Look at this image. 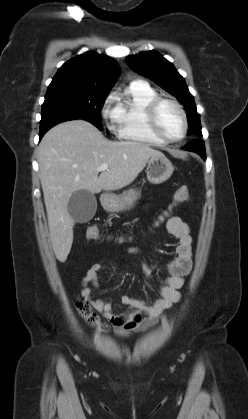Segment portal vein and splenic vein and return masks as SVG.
<instances>
[{"mask_svg":"<svg viewBox=\"0 0 248 419\" xmlns=\"http://www.w3.org/2000/svg\"><path fill=\"white\" fill-rule=\"evenodd\" d=\"M107 169H108V164L104 163V164H101V165L97 168V171H104V170H107Z\"/></svg>","mask_w":248,"mask_h":419,"instance_id":"18ae733b","label":"portal vein and splenic vein"}]
</instances>
